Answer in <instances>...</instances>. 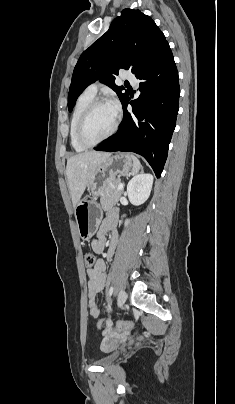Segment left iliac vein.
Instances as JSON below:
<instances>
[{"mask_svg": "<svg viewBox=\"0 0 235 404\" xmlns=\"http://www.w3.org/2000/svg\"><path fill=\"white\" fill-rule=\"evenodd\" d=\"M127 299V295L125 293L124 290H121L118 294V298H117V305L119 308H122L126 302Z\"/></svg>", "mask_w": 235, "mask_h": 404, "instance_id": "4c4485c4", "label": "left iliac vein"}]
</instances>
